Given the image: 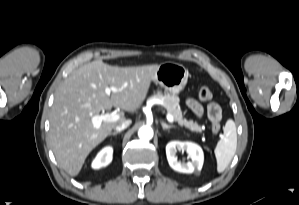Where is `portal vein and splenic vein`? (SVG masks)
<instances>
[{
  "mask_svg": "<svg viewBox=\"0 0 299 205\" xmlns=\"http://www.w3.org/2000/svg\"><path fill=\"white\" fill-rule=\"evenodd\" d=\"M117 89L115 87H107L105 89L106 94H110L111 92H116ZM167 120L172 123L174 121V118L169 113L166 115ZM119 119V115L116 113H106L101 115H94L91 117V121L93 123V126L96 129H99L101 124L103 122H115Z\"/></svg>",
  "mask_w": 299,
  "mask_h": 205,
  "instance_id": "obj_1",
  "label": "portal vein and splenic vein"
}]
</instances>
